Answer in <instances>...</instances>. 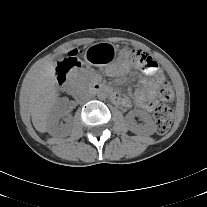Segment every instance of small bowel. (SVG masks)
I'll return each instance as SVG.
<instances>
[{"label":"small bowel","mask_w":207,"mask_h":207,"mask_svg":"<svg viewBox=\"0 0 207 207\" xmlns=\"http://www.w3.org/2000/svg\"><path fill=\"white\" fill-rule=\"evenodd\" d=\"M127 66H128V62L125 61L119 66L110 67L107 70V74L111 77L123 75L127 70ZM148 75H151L154 78L151 80L149 79L142 80V86L136 92V104L138 107L146 111H151L153 108V101H154L157 89L159 87L161 80L163 79V73L157 65L156 70L153 73H150ZM114 100L117 103L121 104L122 106H125V107L131 106V103L128 100V98L121 93H115Z\"/></svg>","instance_id":"1"}]
</instances>
